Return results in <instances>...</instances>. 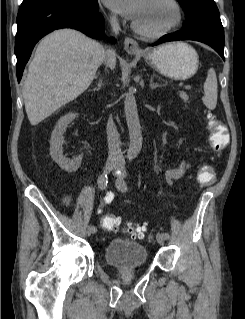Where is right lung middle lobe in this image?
<instances>
[{
    "instance_id": "obj_1",
    "label": "right lung middle lobe",
    "mask_w": 245,
    "mask_h": 319,
    "mask_svg": "<svg viewBox=\"0 0 245 319\" xmlns=\"http://www.w3.org/2000/svg\"><path fill=\"white\" fill-rule=\"evenodd\" d=\"M52 1H57V0H23L21 7H28V6L43 4V3L52 2ZM65 1L83 2L86 0H65Z\"/></svg>"
}]
</instances>
